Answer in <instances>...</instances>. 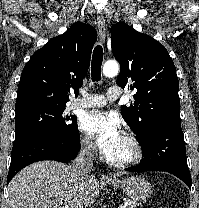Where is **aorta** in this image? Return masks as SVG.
<instances>
[{
  "label": "aorta",
  "instance_id": "obj_1",
  "mask_svg": "<svg viewBox=\"0 0 199 208\" xmlns=\"http://www.w3.org/2000/svg\"><path fill=\"white\" fill-rule=\"evenodd\" d=\"M119 72V64L116 61H107L103 66V74L105 77L112 78Z\"/></svg>",
  "mask_w": 199,
  "mask_h": 208
}]
</instances>
